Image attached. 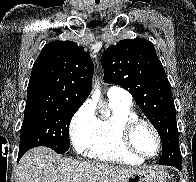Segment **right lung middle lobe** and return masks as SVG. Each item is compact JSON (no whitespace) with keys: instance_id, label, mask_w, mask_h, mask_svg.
<instances>
[{"instance_id":"right-lung-middle-lobe-1","label":"right lung middle lobe","mask_w":196,"mask_h":182,"mask_svg":"<svg viewBox=\"0 0 196 182\" xmlns=\"http://www.w3.org/2000/svg\"><path fill=\"white\" fill-rule=\"evenodd\" d=\"M79 107L44 106L25 108L20 131L19 155L36 146H47L58 154L70 148L69 124Z\"/></svg>"}]
</instances>
